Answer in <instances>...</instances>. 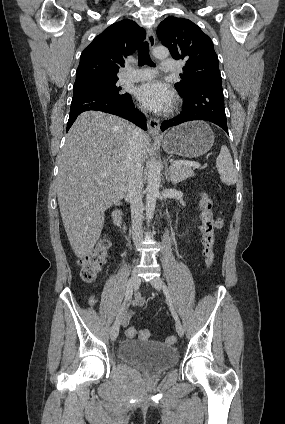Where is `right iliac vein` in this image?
I'll use <instances>...</instances> for the list:
<instances>
[{
  "mask_svg": "<svg viewBox=\"0 0 285 424\" xmlns=\"http://www.w3.org/2000/svg\"><path fill=\"white\" fill-rule=\"evenodd\" d=\"M130 285L133 289H137L140 285V278L137 275L136 269H134L131 278H130ZM124 317V315L121 317V319ZM119 327H120V321L116 320L111 328L110 331V338L111 341H115L119 335Z\"/></svg>",
  "mask_w": 285,
  "mask_h": 424,
  "instance_id": "right-iliac-vein-1",
  "label": "right iliac vein"
}]
</instances>
